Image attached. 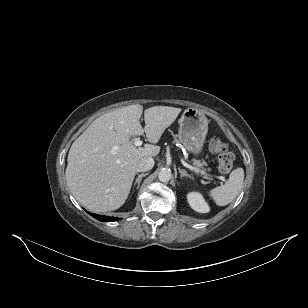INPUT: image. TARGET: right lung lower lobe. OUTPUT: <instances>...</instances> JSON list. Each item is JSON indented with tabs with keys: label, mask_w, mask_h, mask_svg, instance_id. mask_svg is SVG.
I'll list each match as a JSON object with an SVG mask.
<instances>
[{
	"label": "right lung lower lobe",
	"mask_w": 308,
	"mask_h": 308,
	"mask_svg": "<svg viewBox=\"0 0 308 308\" xmlns=\"http://www.w3.org/2000/svg\"><path fill=\"white\" fill-rule=\"evenodd\" d=\"M94 218L100 220V221H115V220H119V218H113V217H106V216H102V215H98V214H91Z\"/></svg>",
	"instance_id": "obj_1"
}]
</instances>
